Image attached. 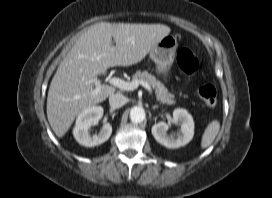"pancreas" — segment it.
Returning a JSON list of instances; mask_svg holds the SVG:
<instances>
[{"instance_id":"1","label":"pancreas","mask_w":272,"mask_h":198,"mask_svg":"<svg viewBox=\"0 0 272 198\" xmlns=\"http://www.w3.org/2000/svg\"><path fill=\"white\" fill-rule=\"evenodd\" d=\"M133 80L147 82L156 93L157 100L162 104L173 105L176 103L174 95L169 93L167 88L156 79V77L147 71H137L133 75Z\"/></svg>"}]
</instances>
